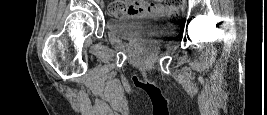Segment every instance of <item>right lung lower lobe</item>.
<instances>
[{
  "label": "right lung lower lobe",
  "mask_w": 267,
  "mask_h": 115,
  "mask_svg": "<svg viewBox=\"0 0 267 115\" xmlns=\"http://www.w3.org/2000/svg\"><path fill=\"white\" fill-rule=\"evenodd\" d=\"M143 89H145L146 91H153L151 88L149 87H142Z\"/></svg>",
  "instance_id": "98d812e1"
}]
</instances>
